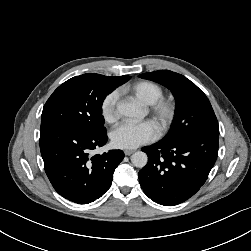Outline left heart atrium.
I'll use <instances>...</instances> for the list:
<instances>
[{"mask_svg": "<svg viewBox=\"0 0 251 251\" xmlns=\"http://www.w3.org/2000/svg\"><path fill=\"white\" fill-rule=\"evenodd\" d=\"M157 134L158 129L152 121L123 122L113 129L111 140L118 148L133 149L154 140Z\"/></svg>", "mask_w": 251, "mask_h": 251, "instance_id": "obj_1", "label": "left heart atrium"}]
</instances>
